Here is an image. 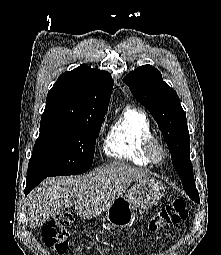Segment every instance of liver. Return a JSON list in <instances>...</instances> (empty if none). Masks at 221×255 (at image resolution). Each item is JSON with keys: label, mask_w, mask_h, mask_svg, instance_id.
I'll list each match as a JSON object with an SVG mask.
<instances>
[{"label": "liver", "mask_w": 221, "mask_h": 255, "mask_svg": "<svg viewBox=\"0 0 221 255\" xmlns=\"http://www.w3.org/2000/svg\"><path fill=\"white\" fill-rule=\"evenodd\" d=\"M142 168L113 162L81 176L50 177L27 196L31 228L42 226L64 207L75 205L77 215L85 219L99 216L129 185L148 176Z\"/></svg>", "instance_id": "6515ba94"}]
</instances>
